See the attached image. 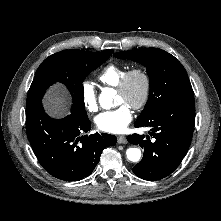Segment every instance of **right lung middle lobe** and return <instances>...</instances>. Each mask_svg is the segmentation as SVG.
Here are the masks:
<instances>
[{
    "instance_id": "obj_1",
    "label": "right lung middle lobe",
    "mask_w": 221,
    "mask_h": 221,
    "mask_svg": "<svg viewBox=\"0 0 221 221\" xmlns=\"http://www.w3.org/2000/svg\"><path fill=\"white\" fill-rule=\"evenodd\" d=\"M113 53L63 50L46 58L36 71L29 89L27 106L41 103L45 91L54 83L63 84L71 94L72 108L86 113L84 108L83 80L103 64Z\"/></svg>"
}]
</instances>
